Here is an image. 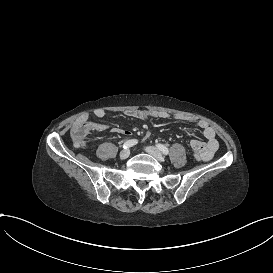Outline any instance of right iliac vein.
<instances>
[{"label":"right iliac vein","instance_id":"obj_1","mask_svg":"<svg viewBox=\"0 0 273 273\" xmlns=\"http://www.w3.org/2000/svg\"><path fill=\"white\" fill-rule=\"evenodd\" d=\"M130 155V150L129 149H124L120 152V158L121 159H126Z\"/></svg>","mask_w":273,"mask_h":273}]
</instances>
